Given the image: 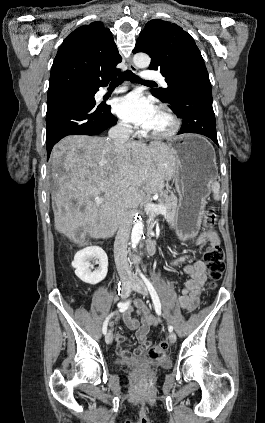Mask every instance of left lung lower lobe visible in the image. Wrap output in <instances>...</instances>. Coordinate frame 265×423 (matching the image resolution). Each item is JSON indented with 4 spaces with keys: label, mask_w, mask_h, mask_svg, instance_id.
Listing matches in <instances>:
<instances>
[{
    "label": "left lung lower lobe",
    "mask_w": 265,
    "mask_h": 423,
    "mask_svg": "<svg viewBox=\"0 0 265 423\" xmlns=\"http://www.w3.org/2000/svg\"><path fill=\"white\" fill-rule=\"evenodd\" d=\"M171 85L174 97L172 111L183 119L178 134L197 133L218 145L212 88L206 67L194 68L177 78Z\"/></svg>",
    "instance_id": "0a47b994"
}]
</instances>
